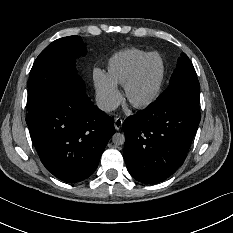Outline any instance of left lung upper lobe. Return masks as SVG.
I'll return each mask as SVG.
<instances>
[{
    "instance_id": "1",
    "label": "left lung upper lobe",
    "mask_w": 233,
    "mask_h": 233,
    "mask_svg": "<svg viewBox=\"0 0 233 233\" xmlns=\"http://www.w3.org/2000/svg\"><path fill=\"white\" fill-rule=\"evenodd\" d=\"M200 86L195 69L186 54L181 53L177 68L171 76L169 86L156 99V104L199 105Z\"/></svg>"
}]
</instances>
